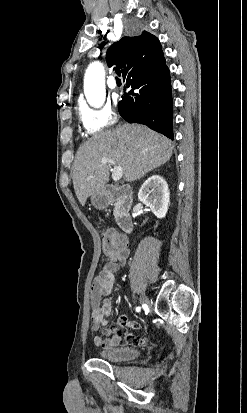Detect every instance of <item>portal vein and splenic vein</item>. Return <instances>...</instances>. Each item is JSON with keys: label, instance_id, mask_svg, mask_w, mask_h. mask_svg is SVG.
<instances>
[{"label": "portal vein and splenic vein", "instance_id": "18ae733b", "mask_svg": "<svg viewBox=\"0 0 247 413\" xmlns=\"http://www.w3.org/2000/svg\"><path fill=\"white\" fill-rule=\"evenodd\" d=\"M113 164V168H112V178L113 180H120L121 176H122V166H120V164H118V166H115L116 162L115 160H113V158H101V164Z\"/></svg>", "mask_w": 247, "mask_h": 413}]
</instances>
